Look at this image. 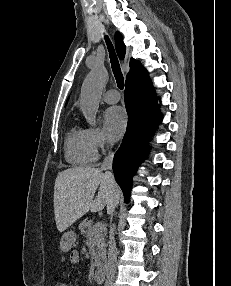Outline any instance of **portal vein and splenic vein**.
Returning a JSON list of instances; mask_svg holds the SVG:
<instances>
[{"instance_id":"portal-vein-and-splenic-vein-1","label":"portal vein and splenic vein","mask_w":231,"mask_h":286,"mask_svg":"<svg viewBox=\"0 0 231 286\" xmlns=\"http://www.w3.org/2000/svg\"><path fill=\"white\" fill-rule=\"evenodd\" d=\"M95 226H96V227H102L103 224H102V222H97V223L95 224Z\"/></svg>"}]
</instances>
